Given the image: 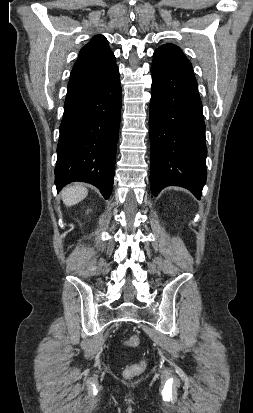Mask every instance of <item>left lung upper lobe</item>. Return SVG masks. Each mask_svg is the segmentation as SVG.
Instances as JSON below:
<instances>
[{
  "label": "left lung upper lobe",
  "instance_id": "5c2ea615",
  "mask_svg": "<svg viewBox=\"0 0 253 413\" xmlns=\"http://www.w3.org/2000/svg\"><path fill=\"white\" fill-rule=\"evenodd\" d=\"M159 49H166V50L173 51V52L177 53L183 60H185L186 62H188L191 65L190 61L186 58V56L183 54V52L181 51V49L178 46H176L174 44H171V43H167V44H164L161 47H159Z\"/></svg>",
  "mask_w": 253,
  "mask_h": 413
}]
</instances>
